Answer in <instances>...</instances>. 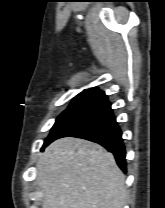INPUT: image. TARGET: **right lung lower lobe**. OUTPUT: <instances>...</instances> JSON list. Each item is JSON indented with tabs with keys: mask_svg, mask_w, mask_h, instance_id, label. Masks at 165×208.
Wrapping results in <instances>:
<instances>
[{
	"mask_svg": "<svg viewBox=\"0 0 165 208\" xmlns=\"http://www.w3.org/2000/svg\"><path fill=\"white\" fill-rule=\"evenodd\" d=\"M67 136L86 139L102 145L114 154L118 166L126 172V151L122 133L109 101L106 100L92 108L89 113L73 123L56 139Z\"/></svg>",
	"mask_w": 165,
	"mask_h": 208,
	"instance_id": "right-lung-lower-lobe-1",
	"label": "right lung lower lobe"
}]
</instances>
